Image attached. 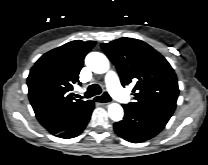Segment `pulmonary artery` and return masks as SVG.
I'll return each mask as SVG.
<instances>
[{
  "instance_id": "pulmonary-artery-1",
  "label": "pulmonary artery",
  "mask_w": 208,
  "mask_h": 165,
  "mask_svg": "<svg viewBox=\"0 0 208 165\" xmlns=\"http://www.w3.org/2000/svg\"><path fill=\"white\" fill-rule=\"evenodd\" d=\"M105 82L110 93L121 102L127 101V95L120 85L117 74L109 71L105 76Z\"/></svg>"
}]
</instances>
